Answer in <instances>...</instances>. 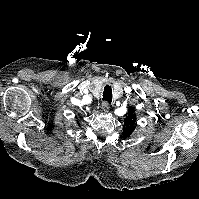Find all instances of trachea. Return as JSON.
I'll return each instance as SVG.
<instances>
[{"label": "trachea", "instance_id": "obj_1", "mask_svg": "<svg viewBox=\"0 0 199 199\" xmlns=\"http://www.w3.org/2000/svg\"><path fill=\"white\" fill-rule=\"evenodd\" d=\"M103 100L108 103H111V101H112V89H111V86H109V85H106L104 88Z\"/></svg>", "mask_w": 199, "mask_h": 199}]
</instances>
